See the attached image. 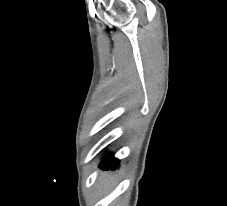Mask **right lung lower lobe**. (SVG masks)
Masks as SVG:
<instances>
[{"label":"right lung lower lobe","mask_w":227,"mask_h":206,"mask_svg":"<svg viewBox=\"0 0 227 206\" xmlns=\"http://www.w3.org/2000/svg\"><path fill=\"white\" fill-rule=\"evenodd\" d=\"M118 166H119V160L115 159L113 155H107L106 157H104L99 167L105 170H109V169L114 170L118 168Z\"/></svg>","instance_id":"98d812e1"}]
</instances>
